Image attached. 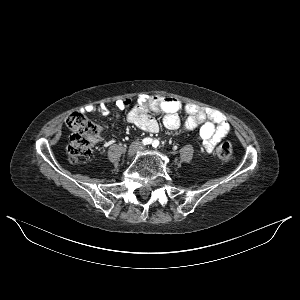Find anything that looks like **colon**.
Wrapping results in <instances>:
<instances>
[{
    "instance_id": "1",
    "label": "colon",
    "mask_w": 300,
    "mask_h": 300,
    "mask_svg": "<svg viewBox=\"0 0 300 300\" xmlns=\"http://www.w3.org/2000/svg\"><path fill=\"white\" fill-rule=\"evenodd\" d=\"M129 105V101H125ZM66 125L71 130L67 145L68 159L71 163H78L83 157L91 154L92 145L98 134L97 125L80 112L71 113L66 118ZM217 156L224 161L232 157V146L229 142H222L217 147Z\"/></svg>"
}]
</instances>
